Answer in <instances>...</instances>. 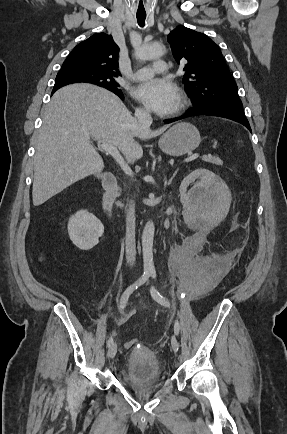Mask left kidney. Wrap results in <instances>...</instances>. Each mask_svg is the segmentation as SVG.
<instances>
[{
	"mask_svg": "<svg viewBox=\"0 0 287 434\" xmlns=\"http://www.w3.org/2000/svg\"><path fill=\"white\" fill-rule=\"evenodd\" d=\"M196 179L199 181L187 191V187ZM179 192L184 208H191L198 215L206 214L214 222L222 220L230 207L231 193L228 186L207 169H197L186 176L181 182Z\"/></svg>",
	"mask_w": 287,
	"mask_h": 434,
	"instance_id": "obj_1",
	"label": "left kidney"
}]
</instances>
